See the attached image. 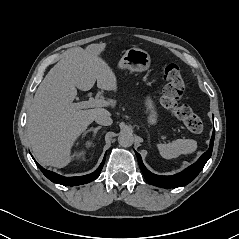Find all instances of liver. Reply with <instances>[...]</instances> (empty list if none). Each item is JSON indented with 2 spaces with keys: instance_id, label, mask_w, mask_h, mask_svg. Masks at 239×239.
<instances>
[{
  "instance_id": "6515ba94",
  "label": "liver",
  "mask_w": 239,
  "mask_h": 239,
  "mask_svg": "<svg viewBox=\"0 0 239 239\" xmlns=\"http://www.w3.org/2000/svg\"><path fill=\"white\" fill-rule=\"evenodd\" d=\"M106 44H91L85 49L72 48L45 76L31 105L27 134L37 160L45 166L63 168L72 159L75 140L103 108L76 109L73 100L77 88L97 87L117 91V78L100 54ZM115 106V100H109Z\"/></svg>"
}]
</instances>
